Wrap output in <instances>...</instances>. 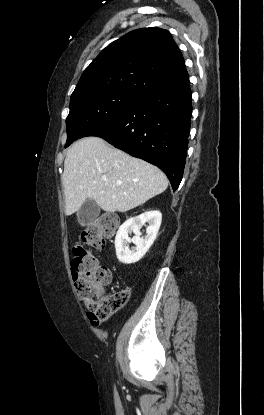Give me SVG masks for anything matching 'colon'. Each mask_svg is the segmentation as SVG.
Wrapping results in <instances>:
<instances>
[{
    "label": "colon",
    "mask_w": 264,
    "mask_h": 415,
    "mask_svg": "<svg viewBox=\"0 0 264 415\" xmlns=\"http://www.w3.org/2000/svg\"><path fill=\"white\" fill-rule=\"evenodd\" d=\"M119 224L117 214H106L89 222L81 234V245L73 252L71 271L79 275L77 292L88 318L94 324L107 321L127 302L129 292L122 290L107 293L111 270L98 264L93 250L103 248L105 240L112 238Z\"/></svg>",
    "instance_id": "obj_1"
}]
</instances>
